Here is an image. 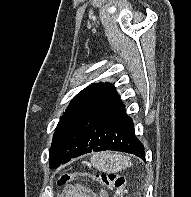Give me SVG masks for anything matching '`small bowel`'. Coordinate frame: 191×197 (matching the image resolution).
I'll use <instances>...</instances> for the list:
<instances>
[{
    "mask_svg": "<svg viewBox=\"0 0 191 197\" xmlns=\"http://www.w3.org/2000/svg\"><path fill=\"white\" fill-rule=\"evenodd\" d=\"M59 197H105L82 185H67Z\"/></svg>",
    "mask_w": 191,
    "mask_h": 197,
    "instance_id": "obj_1",
    "label": "small bowel"
}]
</instances>
